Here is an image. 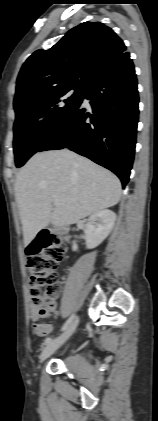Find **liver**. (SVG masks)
Returning a JSON list of instances; mask_svg holds the SVG:
<instances>
[{
  "instance_id": "liver-1",
  "label": "liver",
  "mask_w": 158,
  "mask_h": 421,
  "mask_svg": "<svg viewBox=\"0 0 158 421\" xmlns=\"http://www.w3.org/2000/svg\"><path fill=\"white\" fill-rule=\"evenodd\" d=\"M120 197L117 176L89 159L68 149L36 153L15 181L24 245L49 223L69 226L116 205ZM54 200L60 205L53 209Z\"/></svg>"
}]
</instances>
